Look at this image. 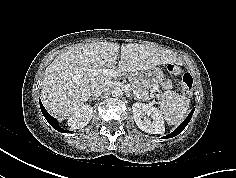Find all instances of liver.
I'll return each instance as SVG.
<instances>
[{"instance_id": "obj_1", "label": "liver", "mask_w": 236, "mask_h": 178, "mask_svg": "<svg viewBox=\"0 0 236 178\" xmlns=\"http://www.w3.org/2000/svg\"><path fill=\"white\" fill-rule=\"evenodd\" d=\"M175 62L170 52L143 44L120 46L105 41L77 45L61 53L46 68L40 97L50 114L69 118L89 99L95 85L111 83L112 77L93 75L92 71L115 68L117 64L119 73L136 72Z\"/></svg>"}]
</instances>
